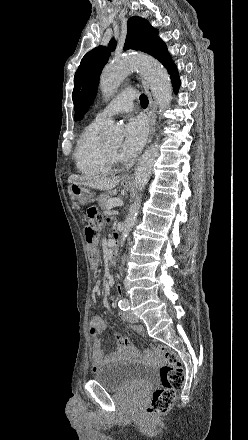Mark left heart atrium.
I'll list each match as a JSON object with an SVG mask.
<instances>
[{"mask_svg": "<svg viewBox=\"0 0 248 440\" xmlns=\"http://www.w3.org/2000/svg\"><path fill=\"white\" fill-rule=\"evenodd\" d=\"M147 137V126L141 117H132L125 124V136L120 149L123 160H129L142 149Z\"/></svg>", "mask_w": 248, "mask_h": 440, "instance_id": "39dd6f15", "label": "left heart atrium"}]
</instances>
